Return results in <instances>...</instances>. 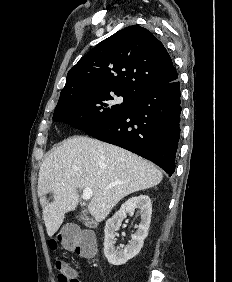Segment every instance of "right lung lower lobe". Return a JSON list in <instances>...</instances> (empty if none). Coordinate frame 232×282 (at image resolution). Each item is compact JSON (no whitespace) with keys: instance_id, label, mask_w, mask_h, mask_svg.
I'll use <instances>...</instances> for the list:
<instances>
[{"instance_id":"1","label":"right lung lower lobe","mask_w":232,"mask_h":282,"mask_svg":"<svg viewBox=\"0 0 232 282\" xmlns=\"http://www.w3.org/2000/svg\"><path fill=\"white\" fill-rule=\"evenodd\" d=\"M180 103L177 79L147 87L128 112L85 132L152 161L171 176L180 138Z\"/></svg>"}]
</instances>
